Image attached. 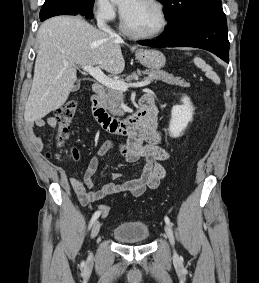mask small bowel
Wrapping results in <instances>:
<instances>
[{
    "instance_id": "small-bowel-1",
    "label": "small bowel",
    "mask_w": 259,
    "mask_h": 283,
    "mask_svg": "<svg viewBox=\"0 0 259 283\" xmlns=\"http://www.w3.org/2000/svg\"><path fill=\"white\" fill-rule=\"evenodd\" d=\"M57 125L54 117H46L29 121L25 126V133L37 151H42L44 147L43 139L35 132L36 127L55 128ZM162 134L158 130L156 117L142 130L135 133L127 142L119 140H108L102 144L96 154L88 162L87 168L81 177H73L70 184L74 189L79 201L90 204L102 198L118 193H128L134 197L141 196L147 189H156L161 180L166 176V168L162 162L169 159V152L161 146ZM116 148L121 157L129 162L144 160V169L139 178L127 180L122 183L115 181L120 178L119 173H113L110 181L100 189H93V177L99 166V158L105 156L110 150ZM47 171L55 174V169L47 165ZM63 177V172H58Z\"/></svg>"
}]
</instances>
